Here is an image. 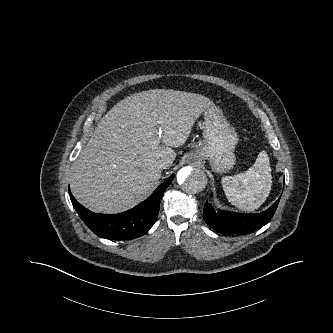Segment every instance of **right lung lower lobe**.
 Instances as JSON below:
<instances>
[{
  "mask_svg": "<svg viewBox=\"0 0 333 333\" xmlns=\"http://www.w3.org/2000/svg\"><path fill=\"white\" fill-rule=\"evenodd\" d=\"M174 178L171 175L150 197L128 211L106 215L93 213L82 206L71 194L73 207L83 222L98 236L114 240H130L144 235L155 223L162 195Z\"/></svg>",
  "mask_w": 333,
  "mask_h": 333,
  "instance_id": "right-lung-lower-lobe-1",
  "label": "right lung lower lobe"
}]
</instances>
